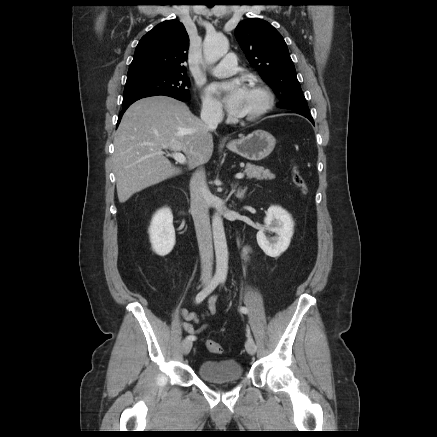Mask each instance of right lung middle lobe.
Returning <instances> with one entry per match:
<instances>
[{"instance_id":"1","label":"right lung middle lobe","mask_w":437,"mask_h":437,"mask_svg":"<svg viewBox=\"0 0 437 437\" xmlns=\"http://www.w3.org/2000/svg\"><path fill=\"white\" fill-rule=\"evenodd\" d=\"M189 87L190 81L186 74L159 71L128 72L123 105L156 95L188 100Z\"/></svg>"}]
</instances>
